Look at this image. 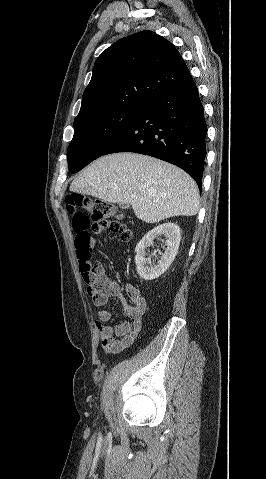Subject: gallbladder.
I'll list each match as a JSON object with an SVG mask.
<instances>
[{"label":"gallbladder","mask_w":266,"mask_h":479,"mask_svg":"<svg viewBox=\"0 0 266 479\" xmlns=\"http://www.w3.org/2000/svg\"><path fill=\"white\" fill-rule=\"evenodd\" d=\"M120 207H122V208H128V207H129V204H120Z\"/></svg>","instance_id":"bac80fb5"}]
</instances>
